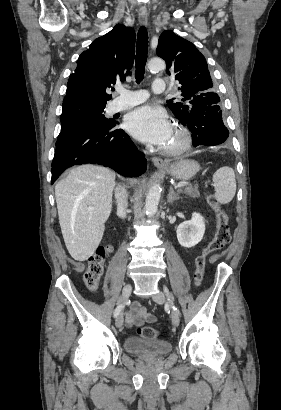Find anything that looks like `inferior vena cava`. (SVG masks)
Returning <instances> with one entry per match:
<instances>
[{"label":"inferior vena cava","instance_id":"1","mask_svg":"<svg viewBox=\"0 0 281 410\" xmlns=\"http://www.w3.org/2000/svg\"><path fill=\"white\" fill-rule=\"evenodd\" d=\"M115 198L117 204V213L121 215L122 218L126 217V209H127V192L125 188L119 186L115 190Z\"/></svg>","mask_w":281,"mask_h":410}]
</instances>
